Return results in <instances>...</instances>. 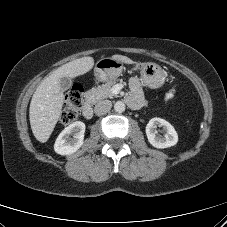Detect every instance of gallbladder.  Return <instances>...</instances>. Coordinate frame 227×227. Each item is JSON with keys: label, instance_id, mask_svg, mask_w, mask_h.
Segmentation results:
<instances>
[{"label": "gallbladder", "instance_id": "1", "mask_svg": "<svg viewBox=\"0 0 227 227\" xmlns=\"http://www.w3.org/2000/svg\"><path fill=\"white\" fill-rule=\"evenodd\" d=\"M72 85V80L67 77L60 78V86L63 91L68 90Z\"/></svg>", "mask_w": 227, "mask_h": 227}]
</instances>
